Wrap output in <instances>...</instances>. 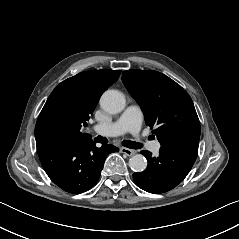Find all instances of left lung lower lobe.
Masks as SVG:
<instances>
[{
	"label": "left lung lower lobe",
	"instance_id": "0a47b994",
	"mask_svg": "<svg viewBox=\"0 0 239 239\" xmlns=\"http://www.w3.org/2000/svg\"><path fill=\"white\" fill-rule=\"evenodd\" d=\"M198 152V144L176 142L161 145L158 157L149 151H141L148 166L141 173H134V182L141 189L159 194L176 187L191 170Z\"/></svg>",
	"mask_w": 239,
	"mask_h": 239
}]
</instances>
